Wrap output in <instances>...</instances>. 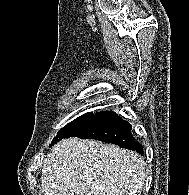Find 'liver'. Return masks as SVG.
Masks as SVG:
<instances>
[{"label": "liver", "instance_id": "obj_1", "mask_svg": "<svg viewBox=\"0 0 189 195\" xmlns=\"http://www.w3.org/2000/svg\"><path fill=\"white\" fill-rule=\"evenodd\" d=\"M144 159L113 144L69 138L58 143L44 163V195H140Z\"/></svg>", "mask_w": 189, "mask_h": 195}]
</instances>
